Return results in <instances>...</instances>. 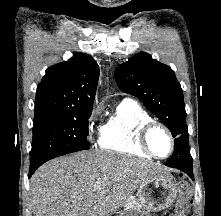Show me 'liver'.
I'll list each match as a JSON object with an SVG mask.
<instances>
[{"instance_id": "1", "label": "liver", "mask_w": 221, "mask_h": 216, "mask_svg": "<svg viewBox=\"0 0 221 216\" xmlns=\"http://www.w3.org/2000/svg\"><path fill=\"white\" fill-rule=\"evenodd\" d=\"M169 173L147 160L99 150L53 159L31 177L35 216H109L151 176Z\"/></svg>"}]
</instances>
